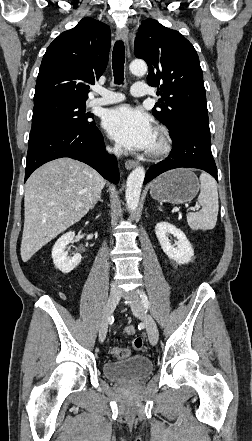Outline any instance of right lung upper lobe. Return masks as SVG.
Returning <instances> with one entry per match:
<instances>
[{
  "mask_svg": "<svg viewBox=\"0 0 252 441\" xmlns=\"http://www.w3.org/2000/svg\"><path fill=\"white\" fill-rule=\"evenodd\" d=\"M110 29L83 18L61 33L43 56L34 104L55 99L86 101L89 86L104 72L109 58Z\"/></svg>",
  "mask_w": 252,
  "mask_h": 441,
  "instance_id": "obj_1",
  "label": "right lung upper lobe"
}]
</instances>
